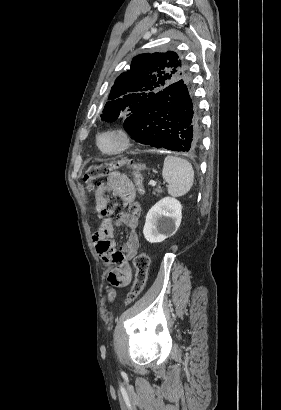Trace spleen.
I'll use <instances>...</instances> for the list:
<instances>
[{
    "label": "spleen",
    "instance_id": "1",
    "mask_svg": "<svg viewBox=\"0 0 281 410\" xmlns=\"http://www.w3.org/2000/svg\"><path fill=\"white\" fill-rule=\"evenodd\" d=\"M162 177L169 184L168 194L174 197L185 195L192 187L194 171L185 159L167 156L164 160Z\"/></svg>",
    "mask_w": 281,
    "mask_h": 410
}]
</instances>
